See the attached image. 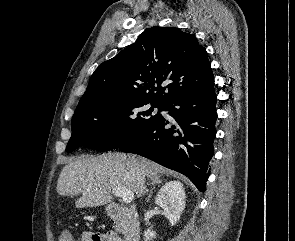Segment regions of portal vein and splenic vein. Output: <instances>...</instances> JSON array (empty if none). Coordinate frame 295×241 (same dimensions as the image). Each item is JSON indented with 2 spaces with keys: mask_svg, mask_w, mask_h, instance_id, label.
<instances>
[{
  "mask_svg": "<svg viewBox=\"0 0 295 241\" xmlns=\"http://www.w3.org/2000/svg\"><path fill=\"white\" fill-rule=\"evenodd\" d=\"M112 193L117 197H121L123 202L126 204L131 203L132 200L134 199V194L125 188H121V187L114 188L112 190Z\"/></svg>",
  "mask_w": 295,
  "mask_h": 241,
  "instance_id": "obj_1",
  "label": "portal vein and splenic vein"
}]
</instances>
